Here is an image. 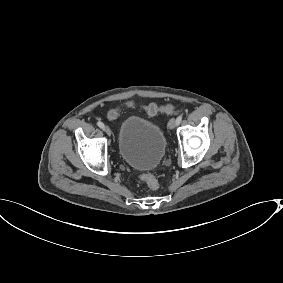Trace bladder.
<instances>
[{
    "instance_id": "1",
    "label": "bladder",
    "mask_w": 283,
    "mask_h": 283,
    "mask_svg": "<svg viewBox=\"0 0 283 283\" xmlns=\"http://www.w3.org/2000/svg\"><path fill=\"white\" fill-rule=\"evenodd\" d=\"M167 145L161 125L137 114L123 119L116 139L119 157L129 166L143 170L159 165Z\"/></svg>"
}]
</instances>
